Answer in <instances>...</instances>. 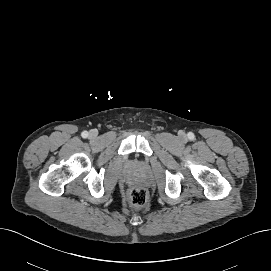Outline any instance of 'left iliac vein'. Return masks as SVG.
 Segmentation results:
<instances>
[{"label": "left iliac vein", "mask_w": 271, "mask_h": 271, "mask_svg": "<svg viewBox=\"0 0 271 271\" xmlns=\"http://www.w3.org/2000/svg\"><path fill=\"white\" fill-rule=\"evenodd\" d=\"M184 137H185V135H184V134H182V135H181V138H184Z\"/></svg>", "instance_id": "1"}]
</instances>
